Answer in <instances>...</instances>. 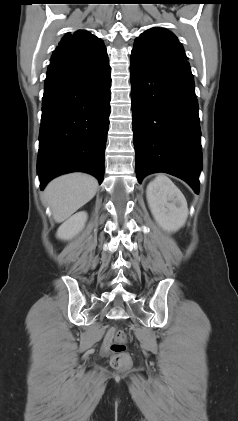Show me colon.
<instances>
[{
    "label": "colon",
    "instance_id": "obj_1",
    "mask_svg": "<svg viewBox=\"0 0 238 421\" xmlns=\"http://www.w3.org/2000/svg\"><path fill=\"white\" fill-rule=\"evenodd\" d=\"M110 350L112 352L110 363L114 369L123 370L131 365V358L127 353V336L121 329L113 328L108 332Z\"/></svg>",
    "mask_w": 238,
    "mask_h": 421
}]
</instances>
